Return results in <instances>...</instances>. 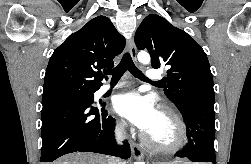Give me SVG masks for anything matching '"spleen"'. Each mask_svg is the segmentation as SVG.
<instances>
[{
	"label": "spleen",
	"mask_w": 251,
	"mask_h": 164,
	"mask_svg": "<svg viewBox=\"0 0 251 164\" xmlns=\"http://www.w3.org/2000/svg\"><path fill=\"white\" fill-rule=\"evenodd\" d=\"M186 164H191V163H189V162H186Z\"/></svg>",
	"instance_id": "spleen-1"
}]
</instances>
